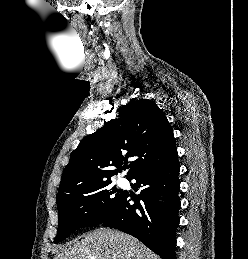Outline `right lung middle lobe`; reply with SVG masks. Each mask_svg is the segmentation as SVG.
I'll return each instance as SVG.
<instances>
[{
	"label": "right lung middle lobe",
	"mask_w": 248,
	"mask_h": 259,
	"mask_svg": "<svg viewBox=\"0 0 248 259\" xmlns=\"http://www.w3.org/2000/svg\"><path fill=\"white\" fill-rule=\"evenodd\" d=\"M110 184L111 180L79 186L57 199L59 226L54 243L79 228L102 224L116 213L126 192Z\"/></svg>",
	"instance_id": "obj_1"
}]
</instances>
